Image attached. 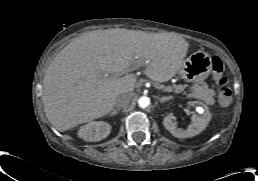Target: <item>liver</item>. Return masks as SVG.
Masks as SVG:
<instances>
[{"mask_svg": "<svg viewBox=\"0 0 258 181\" xmlns=\"http://www.w3.org/2000/svg\"><path fill=\"white\" fill-rule=\"evenodd\" d=\"M189 44L169 33L128 29L97 30L74 39L48 66L42 100L59 131L107 115L116 98L132 93L144 67L153 81L166 82L180 70Z\"/></svg>", "mask_w": 258, "mask_h": 181, "instance_id": "liver-1", "label": "liver"}]
</instances>
